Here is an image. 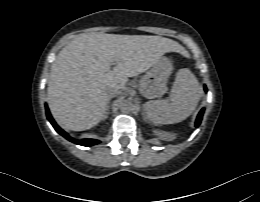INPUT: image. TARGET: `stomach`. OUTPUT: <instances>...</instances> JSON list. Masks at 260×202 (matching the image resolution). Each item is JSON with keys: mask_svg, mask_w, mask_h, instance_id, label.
<instances>
[{"mask_svg": "<svg viewBox=\"0 0 260 202\" xmlns=\"http://www.w3.org/2000/svg\"><path fill=\"white\" fill-rule=\"evenodd\" d=\"M172 64L167 58H160L154 66L142 77L139 90L148 99L162 96L166 91L168 77Z\"/></svg>", "mask_w": 260, "mask_h": 202, "instance_id": "1", "label": "stomach"}]
</instances>
